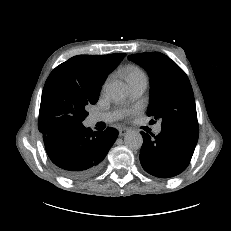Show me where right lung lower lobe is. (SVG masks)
<instances>
[{"mask_svg":"<svg viewBox=\"0 0 231 231\" xmlns=\"http://www.w3.org/2000/svg\"><path fill=\"white\" fill-rule=\"evenodd\" d=\"M46 152L58 171L71 179L94 175L118 137V131H92L83 124L41 132Z\"/></svg>","mask_w":231,"mask_h":231,"instance_id":"obj_1","label":"right lung lower lobe"}]
</instances>
